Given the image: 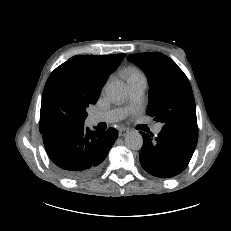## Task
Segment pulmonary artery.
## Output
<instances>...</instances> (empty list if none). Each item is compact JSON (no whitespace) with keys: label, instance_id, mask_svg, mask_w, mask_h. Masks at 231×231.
<instances>
[{"label":"pulmonary artery","instance_id":"1","mask_svg":"<svg viewBox=\"0 0 231 231\" xmlns=\"http://www.w3.org/2000/svg\"><path fill=\"white\" fill-rule=\"evenodd\" d=\"M146 87H147L146 81H140V82L129 84V94L133 104H137L141 100L146 90ZM125 115H126L125 109H114L104 112H93L89 115V121L91 124H98L102 122L112 123L121 120L122 118H124ZM161 130H162L161 124H157L153 128V132L155 134H159Z\"/></svg>","mask_w":231,"mask_h":231}]
</instances>
